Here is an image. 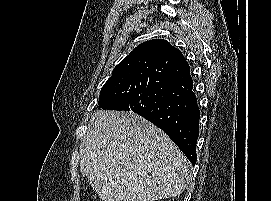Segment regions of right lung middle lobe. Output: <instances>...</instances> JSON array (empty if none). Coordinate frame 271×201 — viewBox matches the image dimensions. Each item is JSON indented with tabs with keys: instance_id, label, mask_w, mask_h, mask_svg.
Listing matches in <instances>:
<instances>
[{
	"instance_id": "obj_1",
	"label": "right lung middle lobe",
	"mask_w": 271,
	"mask_h": 201,
	"mask_svg": "<svg viewBox=\"0 0 271 201\" xmlns=\"http://www.w3.org/2000/svg\"><path fill=\"white\" fill-rule=\"evenodd\" d=\"M151 79L149 69L133 70L112 75L100 91L98 104L107 110H119L122 101L142 93Z\"/></svg>"
}]
</instances>
